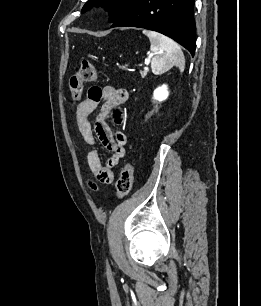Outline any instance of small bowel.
<instances>
[{
  "label": "small bowel",
  "mask_w": 261,
  "mask_h": 306,
  "mask_svg": "<svg viewBox=\"0 0 261 306\" xmlns=\"http://www.w3.org/2000/svg\"><path fill=\"white\" fill-rule=\"evenodd\" d=\"M127 99L128 92L125 89H117L112 86H106L104 88L95 86L89 89L87 97L76 107L78 131L84 142L89 145L86 153L87 163L93 177L100 183L109 184L113 182V168L126 153V135L120 131L113 133L105 119L110 116L113 124L121 125L124 122V113L120 107ZM101 101L103 103L96 122L92 126L90 115ZM96 139L111 153L106 165H103L100 160ZM91 187L94 190L97 189L95 184H91Z\"/></svg>",
  "instance_id": "small-bowel-1"
}]
</instances>
